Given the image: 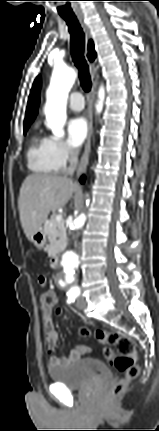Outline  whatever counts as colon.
Wrapping results in <instances>:
<instances>
[{"instance_id": "5ec220e1", "label": "colon", "mask_w": 159, "mask_h": 431, "mask_svg": "<svg viewBox=\"0 0 159 431\" xmlns=\"http://www.w3.org/2000/svg\"><path fill=\"white\" fill-rule=\"evenodd\" d=\"M48 303L53 304L56 301V291L54 287L48 289ZM57 315H54V320H59V316H63L61 308H56ZM79 334L83 337L93 336L98 342L105 347L102 349L105 359H108V366L115 368L123 373V377L117 381L110 390V397L116 398L120 396L127 385L134 380L139 373V369L135 364L137 359L136 348L134 342L127 336L118 332L97 329L91 331L88 327L82 326L79 329Z\"/></svg>"}]
</instances>
